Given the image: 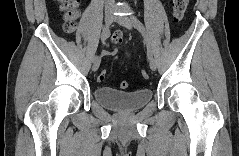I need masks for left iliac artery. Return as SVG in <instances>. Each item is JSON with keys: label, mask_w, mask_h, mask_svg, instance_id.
Wrapping results in <instances>:
<instances>
[{"label": "left iliac artery", "mask_w": 239, "mask_h": 156, "mask_svg": "<svg viewBox=\"0 0 239 156\" xmlns=\"http://www.w3.org/2000/svg\"><path fill=\"white\" fill-rule=\"evenodd\" d=\"M132 20H133V23H134V26L137 30H139L143 37H144V40L147 44V56H148V59L151 60L153 58V55H152V48H151V44H150V41L148 39V36L145 32V28H144V25L141 23V21L136 18L135 16H132Z\"/></svg>", "instance_id": "1"}]
</instances>
